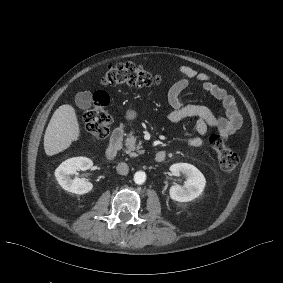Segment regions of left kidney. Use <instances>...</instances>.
<instances>
[{
	"mask_svg": "<svg viewBox=\"0 0 283 283\" xmlns=\"http://www.w3.org/2000/svg\"><path fill=\"white\" fill-rule=\"evenodd\" d=\"M172 175L183 174L186 177L184 186L173 185L170 187L169 195L177 202H189L197 198L204 190L206 179L195 166L188 163H176L170 166Z\"/></svg>",
	"mask_w": 283,
	"mask_h": 283,
	"instance_id": "1",
	"label": "left kidney"
}]
</instances>
